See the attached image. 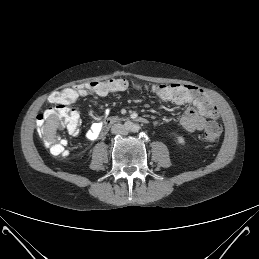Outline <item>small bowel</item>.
<instances>
[{"mask_svg":"<svg viewBox=\"0 0 259 259\" xmlns=\"http://www.w3.org/2000/svg\"><path fill=\"white\" fill-rule=\"evenodd\" d=\"M175 105L192 104L189 105L180 119L181 126L188 132L201 131L206 128L209 122H216L218 114L216 107H213L206 95L199 101L189 100L184 103H174ZM101 121L92 123L86 137L90 140H95L101 135Z\"/></svg>","mask_w":259,"mask_h":259,"instance_id":"small-bowel-1","label":"small bowel"}]
</instances>
